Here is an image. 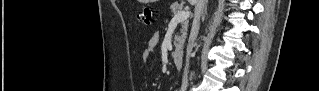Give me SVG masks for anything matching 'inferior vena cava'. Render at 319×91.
<instances>
[{
    "label": "inferior vena cava",
    "mask_w": 319,
    "mask_h": 91,
    "mask_svg": "<svg viewBox=\"0 0 319 91\" xmlns=\"http://www.w3.org/2000/svg\"><path fill=\"white\" fill-rule=\"evenodd\" d=\"M206 1L207 0H197V3L195 5L194 19H193L192 30H191V41L187 46L186 66L184 69L181 91H186L188 86L189 59L192 54L194 42L200 28V17L203 15V10H204Z\"/></svg>",
    "instance_id": "602c4592"
}]
</instances>
